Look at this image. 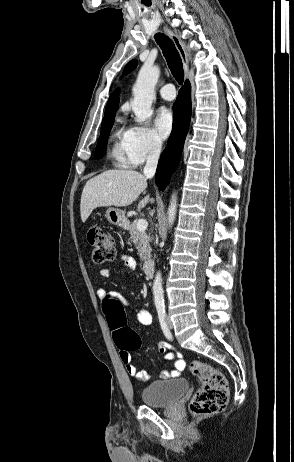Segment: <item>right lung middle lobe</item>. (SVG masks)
I'll return each instance as SVG.
<instances>
[{
    "label": "right lung middle lobe",
    "mask_w": 294,
    "mask_h": 462,
    "mask_svg": "<svg viewBox=\"0 0 294 462\" xmlns=\"http://www.w3.org/2000/svg\"><path fill=\"white\" fill-rule=\"evenodd\" d=\"M114 117L115 115H109L103 118L101 126V136L96 147V158H100L101 152H105L106 150L107 140L104 138V136L110 132Z\"/></svg>",
    "instance_id": "1"
}]
</instances>
